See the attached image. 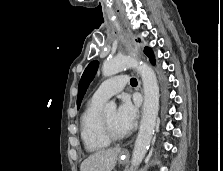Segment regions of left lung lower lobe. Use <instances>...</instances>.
Returning <instances> with one entry per match:
<instances>
[{"instance_id":"left-lung-lower-lobe-1","label":"left lung lower lobe","mask_w":223,"mask_h":171,"mask_svg":"<svg viewBox=\"0 0 223 171\" xmlns=\"http://www.w3.org/2000/svg\"><path fill=\"white\" fill-rule=\"evenodd\" d=\"M145 54L150 58V61L154 64L155 60H154V55H153V52L151 51V49L148 48V50L145 52Z\"/></svg>"}]
</instances>
